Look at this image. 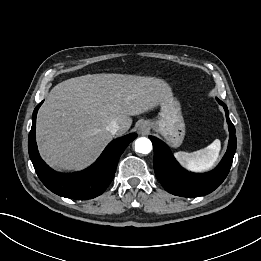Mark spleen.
I'll list each match as a JSON object with an SVG mask.
<instances>
[{"instance_id":"spleen-1","label":"spleen","mask_w":261,"mask_h":261,"mask_svg":"<svg viewBox=\"0 0 261 261\" xmlns=\"http://www.w3.org/2000/svg\"><path fill=\"white\" fill-rule=\"evenodd\" d=\"M221 149L220 140H214L207 147L195 152H176V159L193 172H203L209 170L217 161Z\"/></svg>"}]
</instances>
